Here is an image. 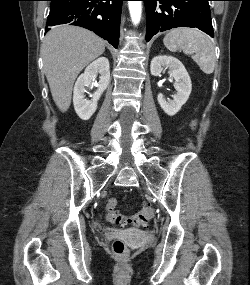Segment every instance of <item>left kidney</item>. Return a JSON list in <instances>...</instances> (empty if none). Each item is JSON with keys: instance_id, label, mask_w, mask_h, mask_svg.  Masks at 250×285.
<instances>
[{"instance_id": "obj_1", "label": "left kidney", "mask_w": 250, "mask_h": 285, "mask_svg": "<svg viewBox=\"0 0 250 285\" xmlns=\"http://www.w3.org/2000/svg\"><path fill=\"white\" fill-rule=\"evenodd\" d=\"M169 69V75L175 79L176 95L173 100H166L163 94L157 97L163 111L169 115H175L188 100L192 91L189 74L184 65L175 57L159 55L152 59L150 70L153 76H160L163 71Z\"/></svg>"}]
</instances>
